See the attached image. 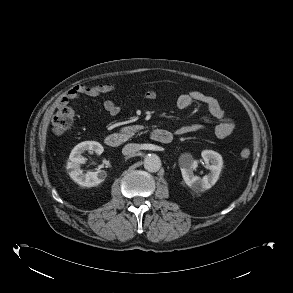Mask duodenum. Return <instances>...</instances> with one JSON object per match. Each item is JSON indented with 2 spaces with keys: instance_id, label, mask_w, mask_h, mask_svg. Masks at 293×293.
I'll return each mask as SVG.
<instances>
[{
  "instance_id": "1",
  "label": "duodenum",
  "mask_w": 293,
  "mask_h": 293,
  "mask_svg": "<svg viewBox=\"0 0 293 293\" xmlns=\"http://www.w3.org/2000/svg\"><path fill=\"white\" fill-rule=\"evenodd\" d=\"M151 138L159 143L167 144L173 139L172 134L164 129H155L151 132ZM125 142L123 134L114 132L110 133L105 137V143L109 147H119Z\"/></svg>"
}]
</instances>
